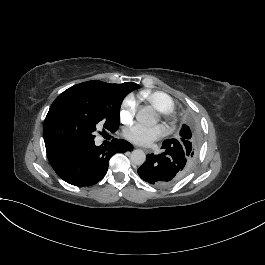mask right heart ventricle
<instances>
[{
    "label": "right heart ventricle",
    "mask_w": 265,
    "mask_h": 265,
    "mask_svg": "<svg viewBox=\"0 0 265 265\" xmlns=\"http://www.w3.org/2000/svg\"><path fill=\"white\" fill-rule=\"evenodd\" d=\"M140 98L155 107L157 112L167 114L174 110L173 100L165 93L144 91Z\"/></svg>",
    "instance_id": "e07e8e85"
}]
</instances>
